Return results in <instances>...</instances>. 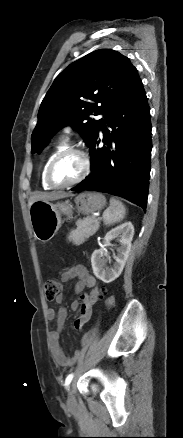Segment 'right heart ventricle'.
Segmentation results:
<instances>
[{
	"mask_svg": "<svg viewBox=\"0 0 183 438\" xmlns=\"http://www.w3.org/2000/svg\"><path fill=\"white\" fill-rule=\"evenodd\" d=\"M67 146V140L66 139H62L60 140L52 149V151L48 154V156L46 157V160L43 164L42 170H41V183L44 189L46 190H50L52 189V187L47 183L46 178H45V173H46V169L47 166L50 162V160L61 150L65 149Z\"/></svg>",
	"mask_w": 183,
	"mask_h": 438,
	"instance_id": "e07e8e85",
	"label": "right heart ventricle"
}]
</instances>
